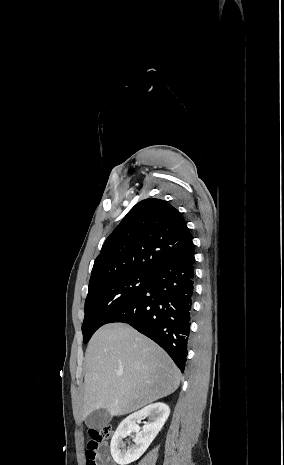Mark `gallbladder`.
Listing matches in <instances>:
<instances>
[{
    "label": "gallbladder",
    "mask_w": 284,
    "mask_h": 465,
    "mask_svg": "<svg viewBox=\"0 0 284 465\" xmlns=\"http://www.w3.org/2000/svg\"><path fill=\"white\" fill-rule=\"evenodd\" d=\"M110 421H112V415L108 411H105V409L93 411L85 419V423L90 429H103V427H107Z\"/></svg>",
    "instance_id": "gallbladder-1"
}]
</instances>
